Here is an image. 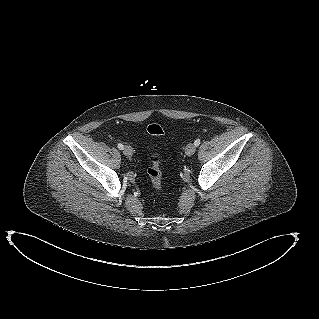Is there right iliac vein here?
<instances>
[{"mask_svg":"<svg viewBox=\"0 0 319 319\" xmlns=\"http://www.w3.org/2000/svg\"><path fill=\"white\" fill-rule=\"evenodd\" d=\"M123 153L124 155L130 157L133 155V148L131 146H125V148L123 149Z\"/></svg>","mask_w":319,"mask_h":319,"instance_id":"obj_1","label":"right iliac vein"}]
</instances>
